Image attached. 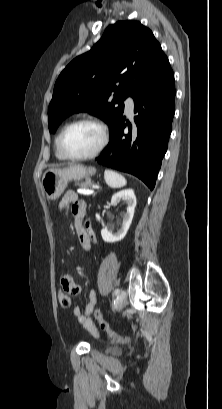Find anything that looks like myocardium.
I'll list each match as a JSON object with an SVG mask.
<instances>
[{
  "label": "myocardium",
  "instance_id": "f54148a6",
  "mask_svg": "<svg viewBox=\"0 0 222 409\" xmlns=\"http://www.w3.org/2000/svg\"><path fill=\"white\" fill-rule=\"evenodd\" d=\"M81 124H93L95 126H97L102 133V140L100 145L98 146V148L93 151L90 154H86V155H81V156H73L70 155L66 149H65V137L68 134V132L75 126L77 125H81ZM109 138H110V133H109V128L108 126L100 119L95 118V117H86V118H81L78 120H75L71 123H69L64 130L61 133L60 139H59V149L60 152L62 153V155L65 157V159L67 160H71V161H83V160H89V159H93L96 158L97 156H99L102 151L106 148L108 142H109Z\"/></svg>",
  "mask_w": 222,
  "mask_h": 409
}]
</instances>
